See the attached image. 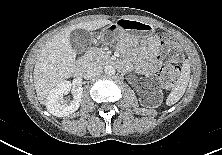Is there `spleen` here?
Masks as SVG:
<instances>
[{
	"label": "spleen",
	"instance_id": "3e777b00",
	"mask_svg": "<svg viewBox=\"0 0 222 155\" xmlns=\"http://www.w3.org/2000/svg\"><path fill=\"white\" fill-rule=\"evenodd\" d=\"M189 79H190V64L188 61H185L181 68L180 77L178 78L175 87L172 89L171 93L169 94L166 100V104L168 106L177 103L181 99V97L185 93Z\"/></svg>",
	"mask_w": 222,
	"mask_h": 155
}]
</instances>
